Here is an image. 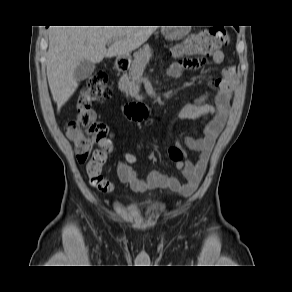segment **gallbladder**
Masks as SVG:
<instances>
[{
	"instance_id": "bac80fb5",
	"label": "gallbladder",
	"mask_w": 292,
	"mask_h": 292,
	"mask_svg": "<svg viewBox=\"0 0 292 292\" xmlns=\"http://www.w3.org/2000/svg\"><path fill=\"white\" fill-rule=\"evenodd\" d=\"M94 69H95L94 63L87 61V60H83L76 67V69L74 71V77L77 80H84V79L88 78L93 73Z\"/></svg>"
}]
</instances>
